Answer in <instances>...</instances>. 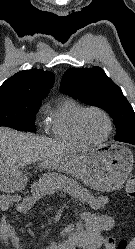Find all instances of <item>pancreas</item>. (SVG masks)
Here are the masks:
<instances>
[{"instance_id": "cf45deb5", "label": "pancreas", "mask_w": 135, "mask_h": 249, "mask_svg": "<svg viewBox=\"0 0 135 249\" xmlns=\"http://www.w3.org/2000/svg\"><path fill=\"white\" fill-rule=\"evenodd\" d=\"M65 190L68 192V193H71V194H77L80 192L79 189L77 188H72L71 186H66L65 187Z\"/></svg>"}]
</instances>
